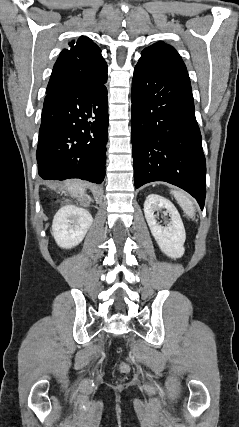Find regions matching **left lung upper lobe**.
<instances>
[{
  "mask_svg": "<svg viewBox=\"0 0 239 427\" xmlns=\"http://www.w3.org/2000/svg\"><path fill=\"white\" fill-rule=\"evenodd\" d=\"M139 63L190 83L188 72L181 56L172 46L163 42H158L145 48L141 53Z\"/></svg>",
  "mask_w": 239,
  "mask_h": 427,
  "instance_id": "left-lung-upper-lobe-1",
  "label": "left lung upper lobe"
}]
</instances>
